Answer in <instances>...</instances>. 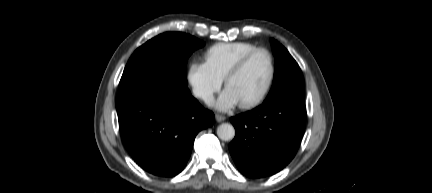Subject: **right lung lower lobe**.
I'll use <instances>...</instances> for the list:
<instances>
[{
  "label": "right lung lower lobe",
  "mask_w": 432,
  "mask_h": 193,
  "mask_svg": "<svg viewBox=\"0 0 432 193\" xmlns=\"http://www.w3.org/2000/svg\"><path fill=\"white\" fill-rule=\"evenodd\" d=\"M120 133L133 159L144 170L171 177L185 167L197 133L214 123L189 92L142 84L116 99Z\"/></svg>",
  "instance_id": "1"
}]
</instances>
